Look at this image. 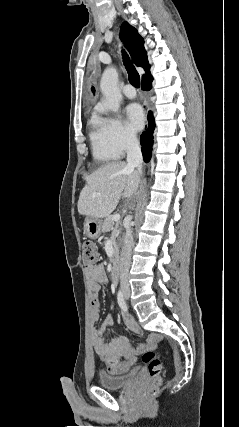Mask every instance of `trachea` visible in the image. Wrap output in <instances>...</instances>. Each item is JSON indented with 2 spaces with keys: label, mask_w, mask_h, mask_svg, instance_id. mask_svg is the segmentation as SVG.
Segmentation results:
<instances>
[{
  "label": "trachea",
  "mask_w": 239,
  "mask_h": 427,
  "mask_svg": "<svg viewBox=\"0 0 239 427\" xmlns=\"http://www.w3.org/2000/svg\"><path fill=\"white\" fill-rule=\"evenodd\" d=\"M123 62L127 70L130 83L134 87L138 88L140 86V76L125 52H123Z\"/></svg>",
  "instance_id": "3493384b"
}]
</instances>
